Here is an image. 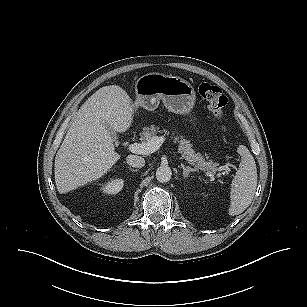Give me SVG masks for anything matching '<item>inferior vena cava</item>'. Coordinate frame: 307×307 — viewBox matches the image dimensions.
<instances>
[{
  "instance_id": "602c4592",
  "label": "inferior vena cava",
  "mask_w": 307,
  "mask_h": 307,
  "mask_svg": "<svg viewBox=\"0 0 307 307\" xmlns=\"http://www.w3.org/2000/svg\"><path fill=\"white\" fill-rule=\"evenodd\" d=\"M126 160L130 166L135 168H142L145 165V160L141 156L128 155Z\"/></svg>"
}]
</instances>
